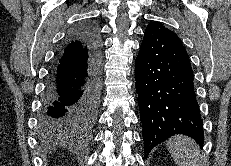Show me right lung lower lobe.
<instances>
[{"instance_id": "right-lung-lower-lobe-1", "label": "right lung lower lobe", "mask_w": 231, "mask_h": 166, "mask_svg": "<svg viewBox=\"0 0 231 166\" xmlns=\"http://www.w3.org/2000/svg\"><path fill=\"white\" fill-rule=\"evenodd\" d=\"M100 37L92 23L80 25L59 49L39 114L44 135L74 136L93 125L101 91Z\"/></svg>"}]
</instances>
